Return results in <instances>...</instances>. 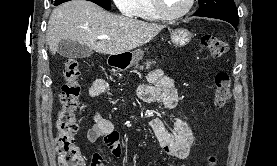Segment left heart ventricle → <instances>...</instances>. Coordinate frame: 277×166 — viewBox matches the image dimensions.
I'll return each mask as SVG.
<instances>
[{
    "instance_id": "1",
    "label": "left heart ventricle",
    "mask_w": 277,
    "mask_h": 166,
    "mask_svg": "<svg viewBox=\"0 0 277 166\" xmlns=\"http://www.w3.org/2000/svg\"><path fill=\"white\" fill-rule=\"evenodd\" d=\"M187 1L188 0H163V4L169 13H177L185 7Z\"/></svg>"
}]
</instances>
